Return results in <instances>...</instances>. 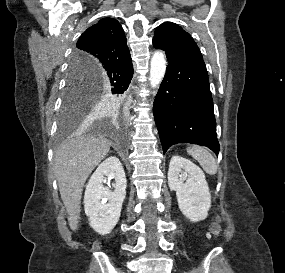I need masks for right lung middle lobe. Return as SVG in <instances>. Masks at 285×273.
Segmentation results:
<instances>
[{"label": "right lung middle lobe", "mask_w": 285, "mask_h": 273, "mask_svg": "<svg viewBox=\"0 0 285 273\" xmlns=\"http://www.w3.org/2000/svg\"><path fill=\"white\" fill-rule=\"evenodd\" d=\"M90 77L88 74L81 76L70 67L60 116L62 131L74 126L96 105L119 101V94H111L106 90L100 91L94 84L95 79Z\"/></svg>", "instance_id": "right-lung-middle-lobe-1"}]
</instances>
